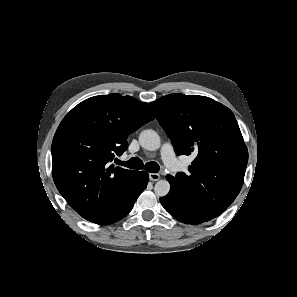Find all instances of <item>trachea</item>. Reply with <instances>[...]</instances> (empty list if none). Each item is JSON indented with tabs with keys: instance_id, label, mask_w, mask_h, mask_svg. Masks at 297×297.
I'll return each mask as SVG.
<instances>
[{
	"instance_id": "obj_1",
	"label": "trachea",
	"mask_w": 297,
	"mask_h": 297,
	"mask_svg": "<svg viewBox=\"0 0 297 297\" xmlns=\"http://www.w3.org/2000/svg\"><path fill=\"white\" fill-rule=\"evenodd\" d=\"M120 164L131 169H144L150 173H157L160 170L156 162H147L144 165L143 161L138 157H133L126 162H120Z\"/></svg>"
}]
</instances>
